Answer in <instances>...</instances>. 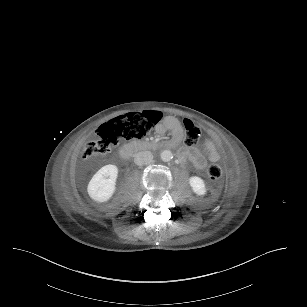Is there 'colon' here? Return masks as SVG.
<instances>
[{"label":"colon","mask_w":307,"mask_h":307,"mask_svg":"<svg viewBox=\"0 0 307 307\" xmlns=\"http://www.w3.org/2000/svg\"><path fill=\"white\" fill-rule=\"evenodd\" d=\"M160 111H144L128 113L115 117L102 124L97 131V139L88 142L83 150L82 158L87 160L98 154H105L110 147L122 140H137L143 138L162 119ZM184 143L187 146L196 145L201 137L200 127L188 118H183ZM211 180H218L222 175L221 167L211 163L207 169Z\"/></svg>","instance_id":"5ec220e1"}]
</instances>
